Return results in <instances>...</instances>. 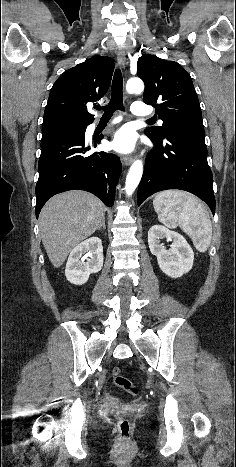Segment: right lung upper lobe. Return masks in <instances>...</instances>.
Returning <instances> with one entry per match:
<instances>
[{"label": "right lung upper lobe", "instance_id": "right-lung-upper-lobe-1", "mask_svg": "<svg viewBox=\"0 0 236 467\" xmlns=\"http://www.w3.org/2000/svg\"><path fill=\"white\" fill-rule=\"evenodd\" d=\"M113 70L114 62L109 57L93 56L65 71L51 88L42 131L91 124L94 116L87 112V104L105 95Z\"/></svg>", "mask_w": 236, "mask_h": 467}]
</instances>
